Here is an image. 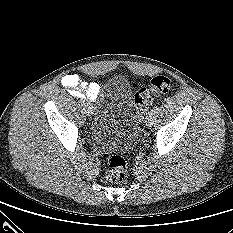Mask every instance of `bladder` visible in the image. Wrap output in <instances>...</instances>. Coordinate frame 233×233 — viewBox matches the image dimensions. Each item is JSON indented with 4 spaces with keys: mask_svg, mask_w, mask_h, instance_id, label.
Here are the masks:
<instances>
[{
    "mask_svg": "<svg viewBox=\"0 0 233 233\" xmlns=\"http://www.w3.org/2000/svg\"><path fill=\"white\" fill-rule=\"evenodd\" d=\"M133 91L124 76L113 78L98 100L93 134L102 146H129L138 136L132 117Z\"/></svg>",
    "mask_w": 233,
    "mask_h": 233,
    "instance_id": "obj_1",
    "label": "bladder"
}]
</instances>
